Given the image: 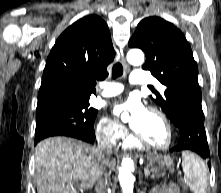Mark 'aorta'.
Segmentation results:
<instances>
[{"mask_svg": "<svg viewBox=\"0 0 221 193\" xmlns=\"http://www.w3.org/2000/svg\"><path fill=\"white\" fill-rule=\"evenodd\" d=\"M127 61L134 66L144 63V54L140 49H131L127 53ZM133 162L130 158H124L119 169V181L123 193H133L134 176L130 171Z\"/></svg>", "mask_w": 221, "mask_h": 193, "instance_id": "762f6f07", "label": "aorta"}]
</instances>
